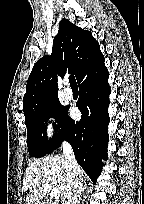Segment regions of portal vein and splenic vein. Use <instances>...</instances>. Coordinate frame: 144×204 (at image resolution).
Here are the masks:
<instances>
[{
	"mask_svg": "<svg viewBox=\"0 0 144 204\" xmlns=\"http://www.w3.org/2000/svg\"><path fill=\"white\" fill-rule=\"evenodd\" d=\"M44 191L49 193L50 198L52 199H58L60 197V191L57 188H53L51 185L49 184H45L44 186Z\"/></svg>",
	"mask_w": 144,
	"mask_h": 204,
	"instance_id": "portal-vein-and-splenic-vein-1",
	"label": "portal vein and splenic vein"
}]
</instances>
